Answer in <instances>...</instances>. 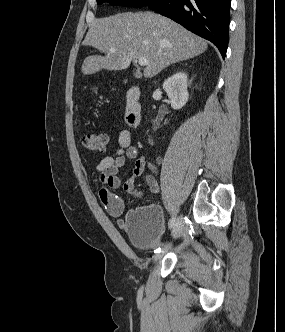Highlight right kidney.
Here are the masks:
<instances>
[{"instance_id":"obj_1","label":"right kidney","mask_w":285,"mask_h":332,"mask_svg":"<svg viewBox=\"0 0 285 332\" xmlns=\"http://www.w3.org/2000/svg\"><path fill=\"white\" fill-rule=\"evenodd\" d=\"M187 80L188 76L185 72H178L168 77L163 83V89L170 98L171 107L174 110L183 108L188 101Z\"/></svg>"}]
</instances>
